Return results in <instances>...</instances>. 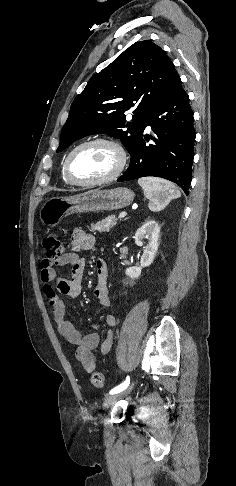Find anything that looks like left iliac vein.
<instances>
[{
    "label": "left iliac vein",
    "mask_w": 236,
    "mask_h": 486,
    "mask_svg": "<svg viewBox=\"0 0 236 486\" xmlns=\"http://www.w3.org/2000/svg\"><path fill=\"white\" fill-rule=\"evenodd\" d=\"M132 388H133V385L130 386L128 389L122 391V392L109 395L104 400V403H103L104 408L108 409V408L112 407L121 397L129 394L131 392Z\"/></svg>",
    "instance_id": "left-iliac-vein-1"
}]
</instances>
